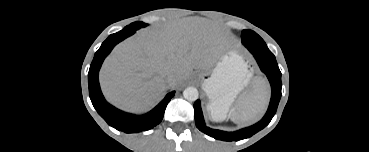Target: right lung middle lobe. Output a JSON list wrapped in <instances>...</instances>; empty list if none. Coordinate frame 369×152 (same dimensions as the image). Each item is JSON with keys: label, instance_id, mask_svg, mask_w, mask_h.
I'll return each instance as SVG.
<instances>
[{"label": "right lung middle lobe", "instance_id": "dd1d6c3e", "mask_svg": "<svg viewBox=\"0 0 369 152\" xmlns=\"http://www.w3.org/2000/svg\"><path fill=\"white\" fill-rule=\"evenodd\" d=\"M147 26V24L143 23V22H134L128 26H126L124 29H139L141 27H145Z\"/></svg>", "mask_w": 369, "mask_h": 152}]
</instances>
